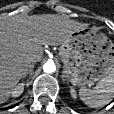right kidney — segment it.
Returning a JSON list of instances; mask_svg holds the SVG:
<instances>
[{
    "mask_svg": "<svg viewBox=\"0 0 114 114\" xmlns=\"http://www.w3.org/2000/svg\"><path fill=\"white\" fill-rule=\"evenodd\" d=\"M24 90V83H19L15 86V88L11 92L12 97H18L23 93Z\"/></svg>",
    "mask_w": 114,
    "mask_h": 114,
    "instance_id": "right-kidney-1",
    "label": "right kidney"
}]
</instances>
